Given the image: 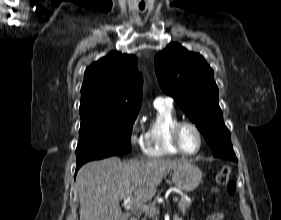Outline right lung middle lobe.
<instances>
[{"label": "right lung middle lobe", "instance_id": "1", "mask_svg": "<svg viewBox=\"0 0 281 220\" xmlns=\"http://www.w3.org/2000/svg\"><path fill=\"white\" fill-rule=\"evenodd\" d=\"M137 117L94 116L81 119L76 148L77 165L131 151L132 126Z\"/></svg>", "mask_w": 281, "mask_h": 220}]
</instances>
